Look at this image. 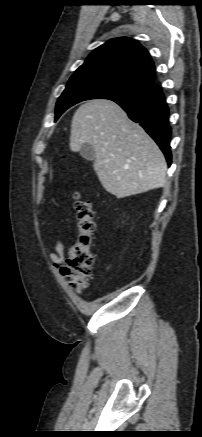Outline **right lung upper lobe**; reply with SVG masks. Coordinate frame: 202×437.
<instances>
[{"mask_svg":"<svg viewBox=\"0 0 202 437\" xmlns=\"http://www.w3.org/2000/svg\"><path fill=\"white\" fill-rule=\"evenodd\" d=\"M109 71L153 83L154 63L147 50L137 41L114 38L95 49L76 72Z\"/></svg>","mask_w":202,"mask_h":437,"instance_id":"right-lung-upper-lobe-1","label":"right lung upper lobe"}]
</instances>
